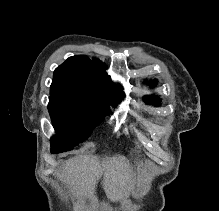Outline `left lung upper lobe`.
I'll list each match as a JSON object with an SVG mask.
<instances>
[{"label": "left lung upper lobe", "mask_w": 219, "mask_h": 211, "mask_svg": "<svg viewBox=\"0 0 219 211\" xmlns=\"http://www.w3.org/2000/svg\"><path fill=\"white\" fill-rule=\"evenodd\" d=\"M156 83H157L156 80L151 81V85H152V86H154ZM157 99H158V98L155 97V96H146V97H145V101H146L147 103H155V102L157 101ZM157 104H159V102H158Z\"/></svg>", "instance_id": "5c2ea615"}]
</instances>
